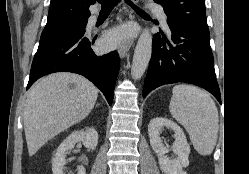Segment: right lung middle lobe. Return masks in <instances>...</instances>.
<instances>
[{
	"label": "right lung middle lobe",
	"mask_w": 249,
	"mask_h": 174,
	"mask_svg": "<svg viewBox=\"0 0 249 174\" xmlns=\"http://www.w3.org/2000/svg\"><path fill=\"white\" fill-rule=\"evenodd\" d=\"M86 22L87 20H73L45 27L41 34L39 45L48 43L63 33L79 31L84 27Z\"/></svg>",
	"instance_id": "1"
}]
</instances>
